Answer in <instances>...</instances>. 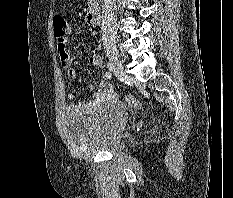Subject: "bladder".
<instances>
[{"label": "bladder", "instance_id": "1", "mask_svg": "<svg viewBox=\"0 0 233 198\" xmlns=\"http://www.w3.org/2000/svg\"><path fill=\"white\" fill-rule=\"evenodd\" d=\"M128 114L119 102L89 113L69 110L63 119L68 145L80 153L116 152L126 142Z\"/></svg>", "mask_w": 233, "mask_h": 198}]
</instances>
